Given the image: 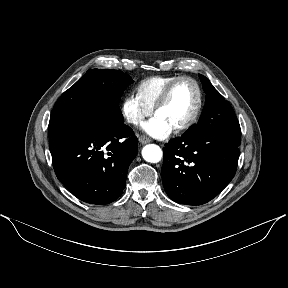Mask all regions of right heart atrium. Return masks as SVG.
Returning a JSON list of instances; mask_svg holds the SVG:
<instances>
[{
	"label": "right heart atrium",
	"instance_id": "obj_1",
	"mask_svg": "<svg viewBox=\"0 0 288 288\" xmlns=\"http://www.w3.org/2000/svg\"><path fill=\"white\" fill-rule=\"evenodd\" d=\"M121 111L128 123L138 126L152 113V108L142 103L134 94H130L123 99Z\"/></svg>",
	"mask_w": 288,
	"mask_h": 288
}]
</instances>
